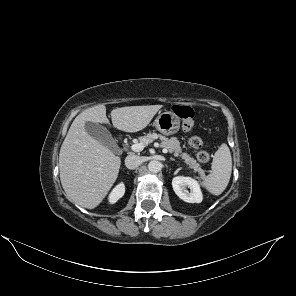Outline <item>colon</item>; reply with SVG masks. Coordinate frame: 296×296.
Here are the masks:
<instances>
[{"instance_id":"1","label":"colon","mask_w":296,"mask_h":296,"mask_svg":"<svg viewBox=\"0 0 296 296\" xmlns=\"http://www.w3.org/2000/svg\"><path fill=\"white\" fill-rule=\"evenodd\" d=\"M172 111L182 119L183 130L190 131L194 128V110L190 106L176 104L172 107ZM188 144L191 148L200 150L203 147V140L199 136H191ZM197 159L202 163H206L209 161L210 155L208 152L200 150L197 153Z\"/></svg>"}]
</instances>
